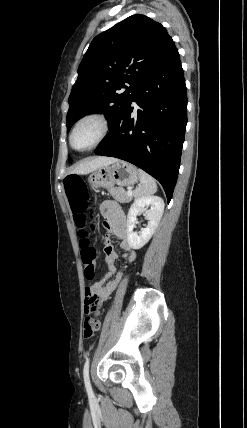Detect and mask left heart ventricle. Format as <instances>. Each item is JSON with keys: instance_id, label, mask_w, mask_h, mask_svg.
<instances>
[{"instance_id": "obj_1", "label": "left heart ventricle", "mask_w": 247, "mask_h": 428, "mask_svg": "<svg viewBox=\"0 0 247 428\" xmlns=\"http://www.w3.org/2000/svg\"><path fill=\"white\" fill-rule=\"evenodd\" d=\"M100 125L96 121H86L76 130L73 143L77 148H85L91 145L98 137Z\"/></svg>"}]
</instances>
